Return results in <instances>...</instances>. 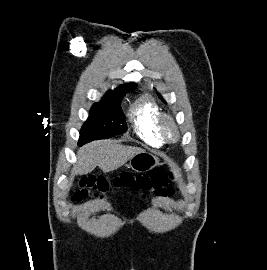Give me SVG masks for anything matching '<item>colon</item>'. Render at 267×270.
I'll list each match as a JSON object with an SVG mask.
<instances>
[{
	"mask_svg": "<svg viewBox=\"0 0 267 270\" xmlns=\"http://www.w3.org/2000/svg\"><path fill=\"white\" fill-rule=\"evenodd\" d=\"M171 181L172 174L163 170H153L144 175L124 173L113 179V181H109L104 177H84L78 182L72 200L81 201L91 196L103 197L112 186L140 192L143 195L151 194L164 198L175 193Z\"/></svg>",
	"mask_w": 267,
	"mask_h": 270,
	"instance_id": "5ec220e1",
	"label": "colon"
}]
</instances>
